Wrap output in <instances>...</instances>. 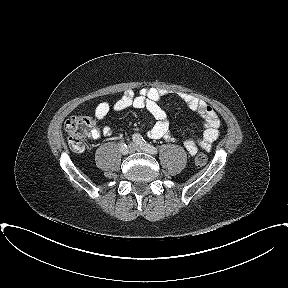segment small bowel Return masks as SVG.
I'll return each mask as SVG.
<instances>
[{"instance_id":"1","label":"small bowel","mask_w":288,"mask_h":288,"mask_svg":"<svg viewBox=\"0 0 288 288\" xmlns=\"http://www.w3.org/2000/svg\"><path fill=\"white\" fill-rule=\"evenodd\" d=\"M166 93V90L155 87L142 88L138 92L128 89L112 104L99 103L95 108V116L98 119H103L111 110L120 112L128 108L146 109L156 119V123L148 132V136L152 139L175 142L177 139L170 131L168 114L160 105V101ZM180 98L190 110L201 116L204 126L201 136L191 135L185 140L186 150L192 156L197 153L199 148L210 150L220 135V120L217 113L210 105L193 95L183 93ZM114 132L110 126L101 124L92 130L91 137L111 136Z\"/></svg>"}]
</instances>
